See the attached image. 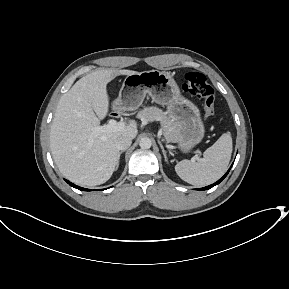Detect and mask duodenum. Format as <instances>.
Instances as JSON below:
<instances>
[{
  "instance_id": "1",
  "label": "duodenum",
  "mask_w": 289,
  "mask_h": 289,
  "mask_svg": "<svg viewBox=\"0 0 289 289\" xmlns=\"http://www.w3.org/2000/svg\"><path fill=\"white\" fill-rule=\"evenodd\" d=\"M111 115H112L113 117H118V116H119V113H118L117 111H112V112H111Z\"/></svg>"
}]
</instances>
